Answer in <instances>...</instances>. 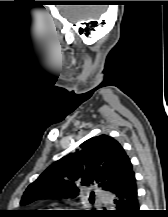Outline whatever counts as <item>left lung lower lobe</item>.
<instances>
[{
    "instance_id": "0a47b994",
    "label": "left lung lower lobe",
    "mask_w": 168,
    "mask_h": 217,
    "mask_svg": "<svg viewBox=\"0 0 168 217\" xmlns=\"http://www.w3.org/2000/svg\"><path fill=\"white\" fill-rule=\"evenodd\" d=\"M113 204L116 210L104 212L113 217H137L139 214V203L137 198V186L134 172L128 180L117 190L111 192Z\"/></svg>"
}]
</instances>
